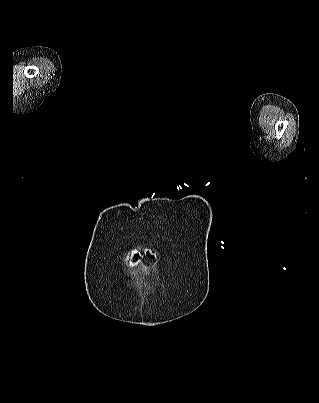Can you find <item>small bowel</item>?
Returning <instances> with one entry per match:
<instances>
[{"label": "small bowel", "mask_w": 319, "mask_h": 403, "mask_svg": "<svg viewBox=\"0 0 319 403\" xmlns=\"http://www.w3.org/2000/svg\"><path fill=\"white\" fill-rule=\"evenodd\" d=\"M148 256L151 257V258H154V257H155V255L152 254V253H148ZM140 258H141V255H139V254L135 255L134 258H133V259L131 260V262H130V266H131L132 268H134V269H137V268H138V265H139V260H140Z\"/></svg>", "instance_id": "1"}]
</instances>
